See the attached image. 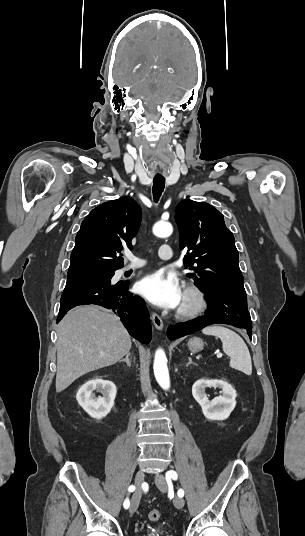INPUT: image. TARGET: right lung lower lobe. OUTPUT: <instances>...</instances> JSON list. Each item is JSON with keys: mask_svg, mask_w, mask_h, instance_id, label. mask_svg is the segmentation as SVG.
Instances as JSON below:
<instances>
[{"mask_svg": "<svg viewBox=\"0 0 305 536\" xmlns=\"http://www.w3.org/2000/svg\"><path fill=\"white\" fill-rule=\"evenodd\" d=\"M96 304L112 309L129 334L144 344L151 340L149 313L141 298L128 291V283L103 285L88 282L70 283L61 296L57 323L67 311L78 305Z\"/></svg>", "mask_w": 305, "mask_h": 536, "instance_id": "right-lung-lower-lobe-1", "label": "right lung lower lobe"}]
</instances>
